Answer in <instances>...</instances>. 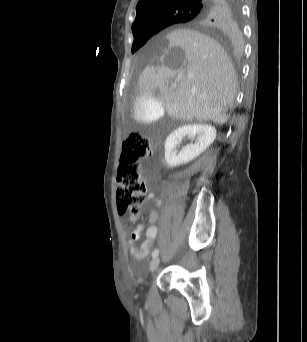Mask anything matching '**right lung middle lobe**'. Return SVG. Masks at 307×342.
Instances as JSON below:
<instances>
[{
    "label": "right lung middle lobe",
    "mask_w": 307,
    "mask_h": 342,
    "mask_svg": "<svg viewBox=\"0 0 307 342\" xmlns=\"http://www.w3.org/2000/svg\"><path fill=\"white\" fill-rule=\"evenodd\" d=\"M196 14H197V11L193 9H186V10H181V11L172 13L167 17L165 21V25L186 22L192 19L194 16H196ZM160 30L162 29L157 28V29L148 30V31L134 34L132 53H135L138 49H140L151 36H153L155 33H157Z\"/></svg>",
    "instance_id": "dd1d6c3e"
}]
</instances>
